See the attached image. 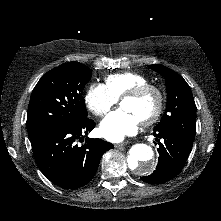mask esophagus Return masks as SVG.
<instances>
[{
    "label": "esophagus",
    "mask_w": 221,
    "mask_h": 221,
    "mask_svg": "<svg viewBox=\"0 0 221 221\" xmlns=\"http://www.w3.org/2000/svg\"><path fill=\"white\" fill-rule=\"evenodd\" d=\"M127 144H129V141H126V142H123V143H118V144H115L114 146H115V148H121V147H123Z\"/></svg>",
    "instance_id": "1"
}]
</instances>
